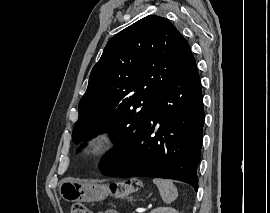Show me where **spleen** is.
Returning <instances> with one entry per match:
<instances>
[{"mask_svg": "<svg viewBox=\"0 0 270 213\" xmlns=\"http://www.w3.org/2000/svg\"><path fill=\"white\" fill-rule=\"evenodd\" d=\"M153 183L158 187L160 195L166 204H170L178 197L177 188L171 180L154 178Z\"/></svg>", "mask_w": 270, "mask_h": 213, "instance_id": "obj_1", "label": "spleen"}]
</instances>
